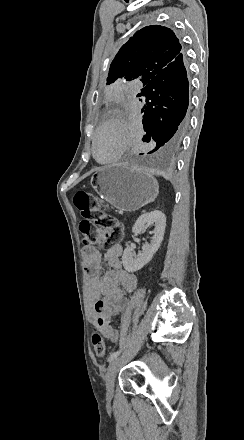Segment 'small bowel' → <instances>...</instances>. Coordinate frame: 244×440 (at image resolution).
<instances>
[{
	"instance_id": "obj_1",
	"label": "small bowel",
	"mask_w": 244,
	"mask_h": 440,
	"mask_svg": "<svg viewBox=\"0 0 244 440\" xmlns=\"http://www.w3.org/2000/svg\"><path fill=\"white\" fill-rule=\"evenodd\" d=\"M123 246L115 243L102 254L94 247L87 246L83 250V263L87 275V298L90 306L89 318L96 321L95 313L103 318L100 331L110 342L119 339V331L111 323V318L118 314H128L132 309L130 297L138 285L134 273L123 268L121 256ZM108 269L103 272V268ZM102 304L101 310H95V305ZM98 323V321H97Z\"/></svg>"
}]
</instances>
